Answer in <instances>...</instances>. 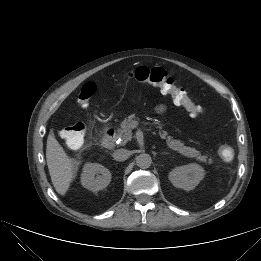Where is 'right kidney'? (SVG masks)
<instances>
[{
    "mask_svg": "<svg viewBox=\"0 0 261 261\" xmlns=\"http://www.w3.org/2000/svg\"><path fill=\"white\" fill-rule=\"evenodd\" d=\"M111 181V173L104 166L97 163H86L81 174L83 187L97 192L106 188Z\"/></svg>",
    "mask_w": 261,
    "mask_h": 261,
    "instance_id": "1",
    "label": "right kidney"
}]
</instances>
